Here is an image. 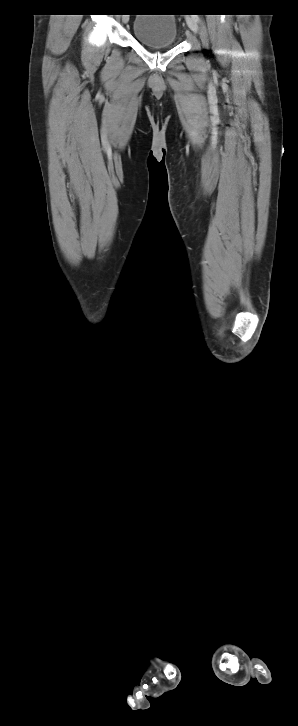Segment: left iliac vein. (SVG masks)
<instances>
[{"mask_svg": "<svg viewBox=\"0 0 298 726\" xmlns=\"http://www.w3.org/2000/svg\"><path fill=\"white\" fill-rule=\"evenodd\" d=\"M187 25L189 29L195 33L198 31V24L197 21L194 19L193 16H189L186 18Z\"/></svg>", "mask_w": 298, "mask_h": 726, "instance_id": "4c4485c4", "label": "left iliac vein"}]
</instances>
